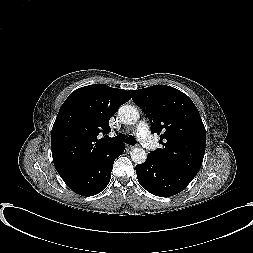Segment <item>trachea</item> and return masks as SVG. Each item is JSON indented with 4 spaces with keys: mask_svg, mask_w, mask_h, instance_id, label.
I'll use <instances>...</instances> for the list:
<instances>
[{
    "mask_svg": "<svg viewBox=\"0 0 253 253\" xmlns=\"http://www.w3.org/2000/svg\"><path fill=\"white\" fill-rule=\"evenodd\" d=\"M107 140L109 141H112V142H116V143H123V142H126L130 145H135L136 144V140L133 138V137H128V138H125V136L123 134H119L118 136L116 137H113V138H107Z\"/></svg>",
    "mask_w": 253,
    "mask_h": 253,
    "instance_id": "1",
    "label": "trachea"
}]
</instances>
